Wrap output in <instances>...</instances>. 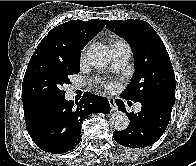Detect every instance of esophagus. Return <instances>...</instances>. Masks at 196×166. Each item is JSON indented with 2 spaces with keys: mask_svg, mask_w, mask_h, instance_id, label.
Listing matches in <instances>:
<instances>
[{
  "mask_svg": "<svg viewBox=\"0 0 196 166\" xmlns=\"http://www.w3.org/2000/svg\"><path fill=\"white\" fill-rule=\"evenodd\" d=\"M108 101H109V104H110V107H111V112L116 111L117 110V105H116L115 99L113 97H109Z\"/></svg>",
  "mask_w": 196,
  "mask_h": 166,
  "instance_id": "esophagus-1",
  "label": "esophagus"
}]
</instances>
